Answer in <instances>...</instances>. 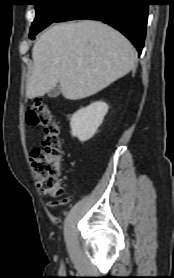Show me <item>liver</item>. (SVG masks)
I'll return each instance as SVG.
<instances>
[{
    "label": "liver",
    "instance_id": "liver-1",
    "mask_svg": "<svg viewBox=\"0 0 174 278\" xmlns=\"http://www.w3.org/2000/svg\"><path fill=\"white\" fill-rule=\"evenodd\" d=\"M26 96H43L60 83L64 98L96 94L128 74L136 59L132 44L112 27L93 20L52 26L32 49Z\"/></svg>",
    "mask_w": 174,
    "mask_h": 278
}]
</instances>
